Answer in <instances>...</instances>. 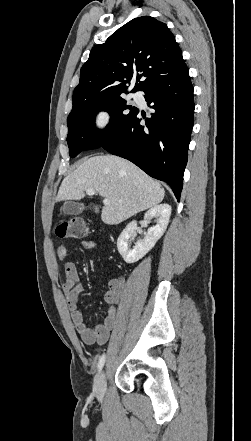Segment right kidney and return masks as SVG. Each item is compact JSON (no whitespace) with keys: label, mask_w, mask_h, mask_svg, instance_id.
<instances>
[{"label":"right kidney","mask_w":251,"mask_h":441,"mask_svg":"<svg viewBox=\"0 0 251 441\" xmlns=\"http://www.w3.org/2000/svg\"><path fill=\"white\" fill-rule=\"evenodd\" d=\"M170 215L171 206L168 204H159L149 209L144 215V220L149 221L154 217H158L157 223L148 229L143 240L135 243L133 249L129 248V244L135 237L137 222L132 221L126 226L117 240L118 252L126 263L137 262L155 246L167 229Z\"/></svg>","instance_id":"1"}]
</instances>
